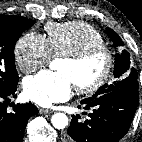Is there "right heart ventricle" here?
<instances>
[{
	"instance_id": "e07e8e85",
	"label": "right heart ventricle",
	"mask_w": 142,
	"mask_h": 142,
	"mask_svg": "<svg viewBox=\"0 0 142 142\" xmlns=\"http://www.w3.org/2000/svg\"><path fill=\"white\" fill-rule=\"evenodd\" d=\"M45 29L51 56L74 54L86 48L104 44L102 34L85 22L50 23Z\"/></svg>"
}]
</instances>
